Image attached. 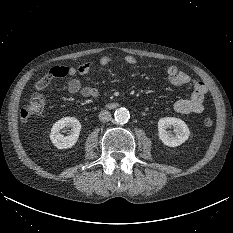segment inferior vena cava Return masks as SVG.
I'll list each match as a JSON object with an SVG mask.
<instances>
[{
  "instance_id": "602c4592",
  "label": "inferior vena cava",
  "mask_w": 233,
  "mask_h": 233,
  "mask_svg": "<svg viewBox=\"0 0 233 233\" xmlns=\"http://www.w3.org/2000/svg\"><path fill=\"white\" fill-rule=\"evenodd\" d=\"M99 120L101 122H108L111 120V113L107 110H102L100 113H99Z\"/></svg>"
}]
</instances>
